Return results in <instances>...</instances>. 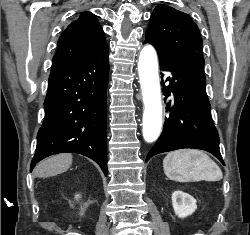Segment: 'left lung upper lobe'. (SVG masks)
I'll return each mask as SVG.
<instances>
[{"label":"left lung upper lobe","mask_w":250,"mask_h":235,"mask_svg":"<svg viewBox=\"0 0 250 235\" xmlns=\"http://www.w3.org/2000/svg\"><path fill=\"white\" fill-rule=\"evenodd\" d=\"M146 42L151 43L158 54L202 52V38L195 22L186 13L162 4L151 14Z\"/></svg>","instance_id":"5c2ea615"}]
</instances>
